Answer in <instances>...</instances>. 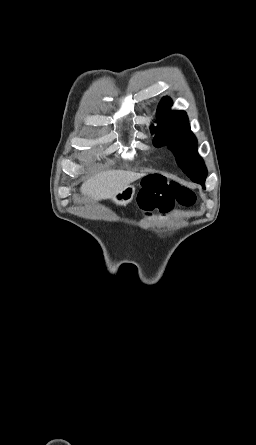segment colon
I'll list each match as a JSON object with an SVG mask.
<instances>
[{
	"label": "colon",
	"mask_w": 256,
	"mask_h": 445,
	"mask_svg": "<svg viewBox=\"0 0 256 445\" xmlns=\"http://www.w3.org/2000/svg\"><path fill=\"white\" fill-rule=\"evenodd\" d=\"M195 193L163 177H148L138 194V204L145 214L167 213L175 206L188 207L195 203Z\"/></svg>",
	"instance_id": "colon-1"
}]
</instances>
